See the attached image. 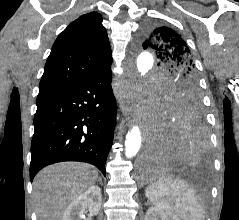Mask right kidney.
Here are the masks:
<instances>
[{"mask_svg": "<svg viewBox=\"0 0 239 220\" xmlns=\"http://www.w3.org/2000/svg\"><path fill=\"white\" fill-rule=\"evenodd\" d=\"M101 200V189L98 186L89 187L69 204L62 220H81L86 208L90 215H96L101 207Z\"/></svg>", "mask_w": 239, "mask_h": 220, "instance_id": "1", "label": "right kidney"}]
</instances>
